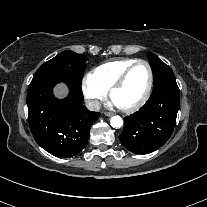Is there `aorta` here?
<instances>
[{
	"label": "aorta",
	"mask_w": 207,
	"mask_h": 207,
	"mask_svg": "<svg viewBox=\"0 0 207 207\" xmlns=\"http://www.w3.org/2000/svg\"><path fill=\"white\" fill-rule=\"evenodd\" d=\"M110 125L113 127V128H121L122 125H123V120L120 116H113L110 120Z\"/></svg>",
	"instance_id": "obj_1"
}]
</instances>
